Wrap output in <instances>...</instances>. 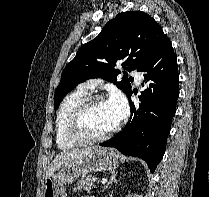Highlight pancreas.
I'll use <instances>...</instances> for the list:
<instances>
[{
    "mask_svg": "<svg viewBox=\"0 0 209 197\" xmlns=\"http://www.w3.org/2000/svg\"><path fill=\"white\" fill-rule=\"evenodd\" d=\"M94 180L90 176H83L81 179L77 181V186L74 187V191L82 192L86 191L89 192L94 185Z\"/></svg>",
    "mask_w": 209,
    "mask_h": 197,
    "instance_id": "cf45deb5",
    "label": "pancreas"
}]
</instances>
